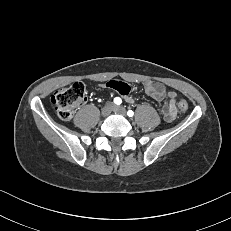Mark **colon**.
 I'll return each instance as SVG.
<instances>
[{
  "label": "colon",
  "instance_id": "5ec220e1",
  "mask_svg": "<svg viewBox=\"0 0 231 231\" xmlns=\"http://www.w3.org/2000/svg\"><path fill=\"white\" fill-rule=\"evenodd\" d=\"M86 87L82 82H75L68 87H64L55 91L51 97V101L62 120H70L75 109L86 99ZM178 109L185 112L188 109V102L180 99L177 103Z\"/></svg>",
  "mask_w": 231,
  "mask_h": 231
}]
</instances>
